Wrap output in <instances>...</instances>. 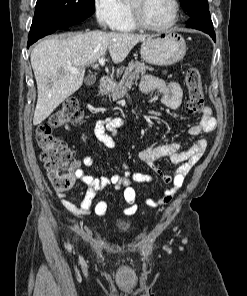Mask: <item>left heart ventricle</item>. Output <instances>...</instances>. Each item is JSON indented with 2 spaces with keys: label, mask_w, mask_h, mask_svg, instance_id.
Masks as SVG:
<instances>
[{
  "label": "left heart ventricle",
  "mask_w": 247,
  "mask_h": 296,
  "mask_svg": "<svg viewBox=\"0 0 247 296\" xmlns=\"http://www.w3.org/2000/svg\"><path fill=\"white\" fill-rule=\"evenodd\" d=\"M138 6L144 21L151 25H163L172 15L170 0H140Z\"/></svg>",
  "instance_id": "left-heart-ventricle-1"
}]
</instances>
